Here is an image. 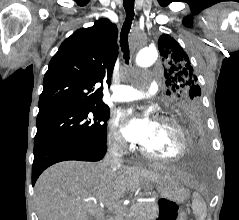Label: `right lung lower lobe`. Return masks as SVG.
I'll return each instance as SVG.
<instances>
[{
  "mask_svg": "<svg viewBox=\"0 0 239 220\" xmlns=\"http://www.w3.org/2000/svg\"><path fill=\"white\" fill-rule=\"evenodd\" d=\"M107 150L106 143L88 145L69 141H51L34 146L32 185L50 165L64 160L99 161Z\"/></svg>",
  "mask_w": 239,
  "mask_h": 220,
  "instance_id": "1",
  "label": "right lung lower lobe"
}]
</instances>
